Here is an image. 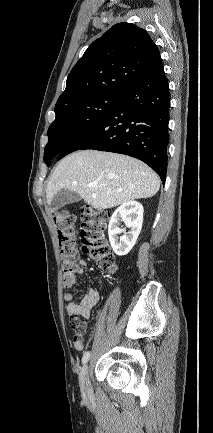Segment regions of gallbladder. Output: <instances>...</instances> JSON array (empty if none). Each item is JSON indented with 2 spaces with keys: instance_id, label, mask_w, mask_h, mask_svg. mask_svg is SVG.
I'll return each instance as SVG.
<instances>
[{
  "instance_id": "bac80fb5",
  "label": "gallbladder",
  "mask_w": 213,
  "mask_h": 433,
  "mask_svg": "<svg viewBox=\"0 0 213 433\" xmlns=\"http://www.w3.org/2000/svg\"><path fill=\"white\" fill-rule=\"evenodd\" d=\"M81 200L80 195L69 189H62L57 192L50 204L52 210H58L66 204H72Z\"/></svg>"
}]
</instances>
